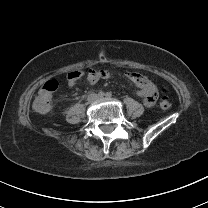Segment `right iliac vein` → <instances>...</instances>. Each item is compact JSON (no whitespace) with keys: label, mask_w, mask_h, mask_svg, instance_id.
<instances>
[{"label":"right iliac vein","mask_w":208,"mask_h":208,"mask_svg":"<svg viewBox=\"0 0 208 208\" xmlns=\"http://www.w3.org/2000/svg\"><path fill=\"white\" fill-rule=\"evenodd\" d=\"M97 98H98L97 95H95V94H90V95L88 96V101H89V102H94Z\"/></svg>","instance_id":"right-iliac-vein-1"}]
</instances>
